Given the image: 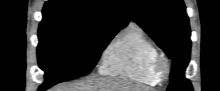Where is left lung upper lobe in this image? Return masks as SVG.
<instances>
[{
	"label": "left lung upper lobe",
	"instance_id": "5c2ea615",
	"mask_svg": "<svg viewBox=\"0 0 220 91\" xmlns=\"http://www.w3.org/2000/svg\"><path fill=\"white\" fill-rule=\"evenodd\" d=\"M139 24L173 60L168 91H192L184 77L190 59V27L183 0H121Z\"/></svg>",
	"mask_w": 220,
	"mask_h": 91
}]
</instances>
